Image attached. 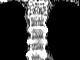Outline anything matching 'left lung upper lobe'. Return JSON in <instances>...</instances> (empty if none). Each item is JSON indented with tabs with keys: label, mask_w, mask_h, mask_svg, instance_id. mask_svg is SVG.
<instances>
[{
	"label": "left lung upper lobe",
	"mask_w": 80,
	"mask_h": 60,
	"mask_svg": "<svg viewBox=\"0 0 80 60\" xmlns=\"http://www.w3.org/2000/svg\"><path fill=\"white\" fill-rule=\"evenodd\" d=\"M76 5L73 3L61 2L51 12L48 21V42L51 51H54L59 58H66L69 48H78L80 36H77L75 25Z\"/></svg>",
	"instance_id": "obj_1"
}]
</instances>
